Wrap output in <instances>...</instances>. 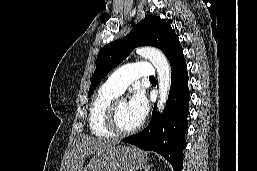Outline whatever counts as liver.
<instances>
[{"mask_svg": "<svg viewBox=\"0 0 257 171\" xmlns=\"http://www.w3.org/2000/svg\"><path fill=\"white\" fill-rule=\"evenodd\" d=\"M118 140L101 138H82L81 142L71 152L66 171H82L84 159L97 152L118 144Z\"/></svg>", "mask_w": 257, "mask_h": 171, "instance_id": "obj_1", "label": "liver"}]
</instances>
